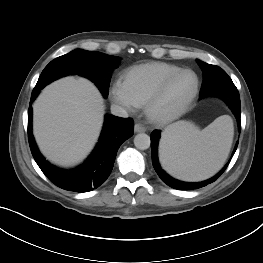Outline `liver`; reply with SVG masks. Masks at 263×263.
Wrapping results in <instances>:
<instances>
[{"label": "liver", "instance_id": "1", "mask_svg": "<svg viewBox=\"0 0 263 263\" xmlns=\"http://www.w3.org/2000/svg\"><path fill=\"white\" fill-rule=\"evenodd\" d=\"M103 99L85 78L65 77L48 85L33 105V133L43 155L60 166L82 161L96 143Z\"/></svg>", "mask_w": 263, "mask_h": 263}]
</instances>
